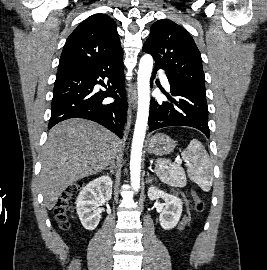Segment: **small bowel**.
Instances as JSON below:
<instances>
[{
  "instance_id": "c3829d8e",
  "label": "small bowel",
  "mask_w": 267,
  "mask_h": 270,
  "mask_svg": "<svg viewBox=\"0 0 267 270\" xmlns=\"http://www.w3.org/2000/svg\"><path fill=\"white\" fill-rule=\"evenodd\" d=\"M187 223H188V217L185 216V217L181 220V222H180L178 228H180V229L183 228Z\"/></svg>"
}]
</instances>
